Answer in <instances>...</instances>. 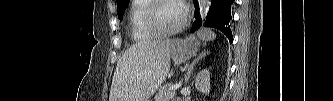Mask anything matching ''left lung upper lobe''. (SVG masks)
I'll return each instance as SVG.
<instances>
[{
  "instance_id": "obj_1",
  "label": "left lung upper lobe",
  "mask_w": 333,
  "mask_h": 101,
  "mask_svg": "<svg viewBox=\"0 0 333 101\" xmlns=\"http://www.w3.org/2000/svg\"><path fill=\"white\" fill-rule=\"evenodd\" d=\"M129 0H117V14L119 19H122L123 12L125 11Z\"/></svg>"
}]
</instances>
